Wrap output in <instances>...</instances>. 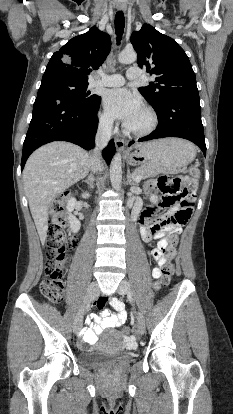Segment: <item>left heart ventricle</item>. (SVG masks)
Returning a JSON list of instances; mask_svg holds the SVG:
<instances>
[{
  "mask_svg": "<svg viewBox=\"0 0 233 414\" xmlns=\"http://www.w3.org/2000/svg\"><path fill=\"white\" fill-rule=\"evenodd\" d=\"M148 121V116L142 111L128 126L134 129H142L148 124Z\"/></svg>",
  "mask_w": 233,
  "mask_h": 414,
  "instance_id": "left-heart-ventricle-1",
  "label": "left heart ventricle"
}]
</instances>
